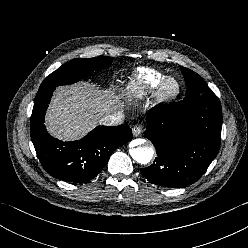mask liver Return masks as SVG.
I'll return each instance as SVG.
<instances>
[{
    "label": "liver",
    "instance_id": "liver-1",
    "mask_svg": "<svg viewBox=\"0 0 248 248\" xmlns=\"http://www.w3.org/2000/svg\"><path fill=\"white\" fill-rule=\"evenodd\" d=\"M128 94H138L135 86H129ZM122 104L114 89L100 90L81 82L58 87L46 114L48 132L61 140L83 137L95 125L103 124L102 118L121 112Z\"/></svg>",
    "mask_w": 248,
    "mask_h": 248
}]
</instances>
